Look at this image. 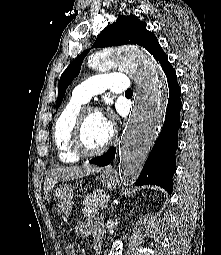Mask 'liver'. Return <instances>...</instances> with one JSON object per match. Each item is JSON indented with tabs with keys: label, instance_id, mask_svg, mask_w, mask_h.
Instances as JSON below:
<instances>
[{
	"label": "liver",
	"instance_id": "1",
	"mask_svg": "<svg viewBox=\"0 0 221 255\" xmlns=\"http://www.w3.org/2000/svg\"><path fill=\"white\" fill-rule=\"evenodd\" d=\"M101 171V168L95 167L89 164H84L80 166H67V167H57L52 168L48 171L45 182H44V194L45 197L49 200V192L54 188V186L59 181H71L78 178H83L92 173H98Z\"/></svg>",
	"mask_w": 221,
	"mask_h": 255
}]
</instances>
